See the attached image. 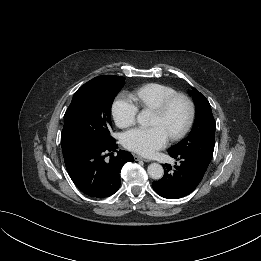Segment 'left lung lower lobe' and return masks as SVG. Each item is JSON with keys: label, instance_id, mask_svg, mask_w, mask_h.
I'll list each match as a JSON object with an SVG mask.
<instances>
[{"label": "left lung lower lobe", "instance_id": "0a47b994", "mask_svg": "<svg viewBox=\"0 0 261 261\" xmlns=\"http://www.w3.org/2000/svg\"><path fill=\"white\" fill-rule=\"evenodd\" d=\"M177 162L174 167L165 164V174L161 180L154 181L152 187L161 197L177 199L190 194L201 182L207 167L199 160L185 154H169Z\"/></svg>", "mask_w": 261, "mask_h": 261}]
</instances>
